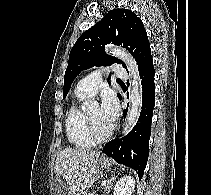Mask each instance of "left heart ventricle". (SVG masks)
<instances>
[{
  "instance_id": "1",
  "label": "left heart ventricle",
  "mask_w": 211,
  "mask_h": 195,
  "mask_svg": "<svg viewBox=\"0 0 211 195\" xmlns=\"http://www.w3.org/2000/svg\"><path fill=\"white\" fill-rule=\"evenodd\" d=\"M87 114L89 115L93 123L94 129L98 134L105 133L111 127L102 120L98 107L89 110Z\"/></svg>"
}]
</instances>
